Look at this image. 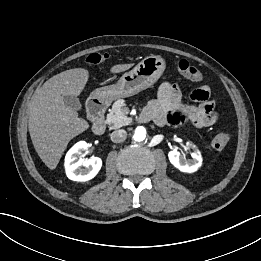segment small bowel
Wrapping results in <instances>:
<instances>
[{
    "mask_svg": "<svg viewBox=\"0 0 261 261\" xmlns=\"http://www.w3.org/2000/svg\"><path fill=\"white\" fill-rule=\"evenodd\" d=\"M195 104L185 103L177 84L164 82L160 85L156 99L149 102L142 115L143 121L153 120L158 126L178 125L190 121L196 127H210L218 119L215 103L210 99V88L202 84L190 94Z\"/></svg>",
    "mask_w": 261,
    "mask_h": 261,
    "instance_id": "small-bowel-1",
    "label": "small bowel"
}]
</instances>
